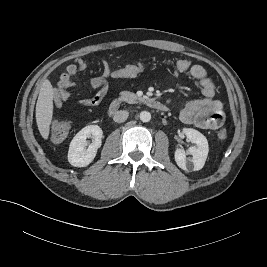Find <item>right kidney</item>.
I'll return each instance as SVG.
<instances>
[{
	"mask_svg": "<svg viewBox=\"0 0 267 267\" xmlns=\"http://www.w3.org/2000/svg\"><path fill=\"white\" fill-rule=\"evenodd\" d=\"M103 131L98 125H89L80 130L72 139L68 161L75 167H86L96 156L98 148L101 146ZM87 138H92L93 142L86 149Z\"/></svg>",
	"mask_w": 267,
	"mask_h": 267,
	"instance_id": "obj_1",
	"label": "right kidney"
}]
</instances>
